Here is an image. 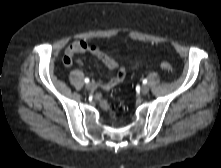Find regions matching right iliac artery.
Instances as JSON below:
<instances>
[{
	"label": "right iliac artery",
	"instance_id": "82829eb1",
	"mask_svg": "<svg viewBox=\"0 0 221 168\" xmlns=\"http://www.w3.org/2000/svg\"><path fill=\"white\" fill-rule=\"evenodd\" d=\"M85 83H89V78H85Z\"/></svg>",
	"mask_w": 221,
	"mask_h": 168
}]
</instances>
